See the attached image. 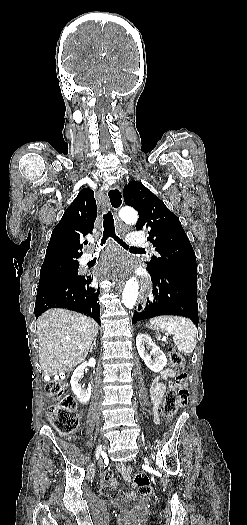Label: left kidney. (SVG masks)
Returning a JSON list of instances; mask_svg holds the SVG:
<instances>
[{"instance_id":"5707ae66","label":"left kidney","mask_w":247,"mask_h":525,"mask_svg":"<svg viewBox=\"0 0 247 525\" xmlns=\"http://www.w3.org/2000/svg\"><path fill=\"white\" fill-rule=\"evenodd\" d=\"M145 345H147L148 349H151L149 355L145 351ZM136 347L141 359H143L145 365H147L150 371H154V373L162 371L167 363V359L163 351L153 343L148 335H145V333H139L136 337ZM151 355L154 357L153 361Z\"/></svg>"}]
</instances>
